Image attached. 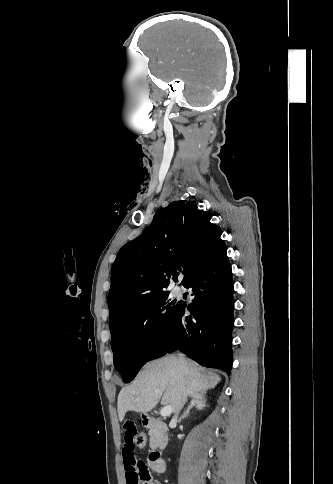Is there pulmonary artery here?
I'll list each match as a JSON object with an SVG mask.
<instances>
[{
    "mask_svg": "<svg viewBox=\"0 0 333 484\" xmlns=\"http://www.w3.org/2000/svg\"><path fill=\"white\" fill-rule=\"evenodd\" d=\"M174 291H175V293H177V294H178V293H180V292H181V289H180V287L176 286V287L174 288Z\"/></svg>",
    "mask_w": 333,
    "mask_h": 484,
    "instance_id": "1",
    "label": "pulmonary artery"
}]
</instances>
